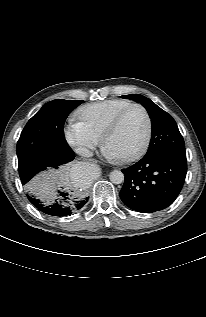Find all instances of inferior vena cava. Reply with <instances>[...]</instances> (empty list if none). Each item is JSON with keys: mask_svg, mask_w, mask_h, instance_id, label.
Listing matches in <instances>:
<instances>
[{"mask_svg": "<svg viewBox=\"0 0 206 317\" xmlns=\"http://www.w3.org/2000/svg\"><path fill=\"white\" fill-rule=\"evenodd\" d=\"M76 153L82 157H91L93 153L86 147H78L75 149Z\"/></svg>", "mask_w": 206, "mask_h": 317, "instance_id": "602c4592", "label": "inferior vena cava"}]
</instances>
